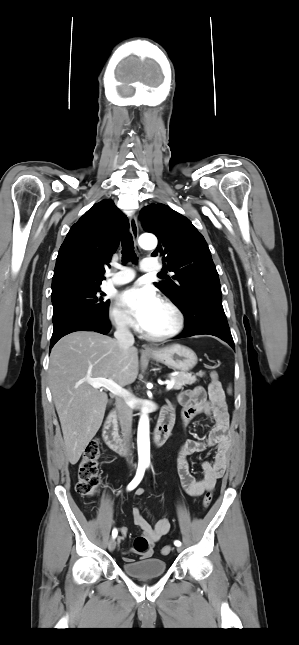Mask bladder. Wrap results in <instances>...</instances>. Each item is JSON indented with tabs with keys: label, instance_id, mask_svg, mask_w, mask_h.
I'll return each mask as SVG.
<instances>
[{
	"label": "bladder",
	"instance_id": "bladder-1",
	"mask_svg": "<svg viewBox=\"0 0 299 645\" xmlns=\"http://www.w3.org/2000/svg\"><path fill=\"white\" fill-rule=\"evenodd\" d=\"M122 571L133 578L159 577L167 571V563L161 558L151 557L140 561L125 562Z\"/></svg>",
	"mask_w": 299,
	"mask_h": 645
}]
</instances>
